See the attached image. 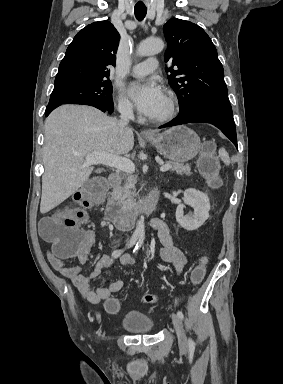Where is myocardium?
<instances>
[{
    "label": "myocardium",
    "mask_w": 283,
    "mask_h": 384,
    "mask_svg": "<svg viewBox=\"0 0 283 384\" xmlns=\"http://www.w3.org/2000/svg\"><path fill=\"white\" fill-rule=\"evenodd\" d=\"M165 101H166V109H165L164 113L158 117L151 118L150 122H152V123H164V122L170 121L174 117V115L176 113L175 100L173 99V97L171 95H167L165 97Z\"/></svg>",
    "instance_id": "myocardium-1"
}]
</instances>
